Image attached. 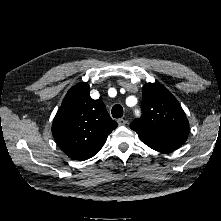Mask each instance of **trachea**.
Wrapping results in <instances>:
<instances>
[{
  "label": "trachea",
  "instance_id": "trachea-1",
  "mask_svg": "<svg viewBox=\"0 0 221 221\" xmlns=\"http://www.w3.org/2000/svg\"><path fill=\"white\" fill-rule=\"evenodd\" d=\"M111 114L113 118H121L123 116V108L121 105L116 104L112 107Z\"/></svg>",
  "mask_w": 221,
  "mask_h": 221
}]
</instances>
